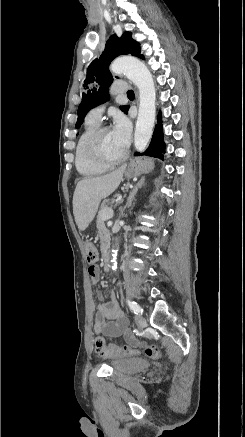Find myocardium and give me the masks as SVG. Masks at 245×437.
Here are the masks:
<instances>
[{
  "instance_id": "obj_1",
  "label": "myocardium",
  "mask_w": 245,
  "mask_h": 437,
  "mask_svg": "<svg viewBox=\"0 0 245 437\" xmlns=\"http://www.w3.org/2000/svg\"><path fill=\"white\" fill-rule=\"evenodd\" d=\"M110 128L108 126H98L87 138L86 141V151L89 157L104 166H114L122 163L128 156V151H125L124 154L116 159H111L106 157L100 148V140L102 135L109 131Z\"/></svg>"
}]
</instances>
